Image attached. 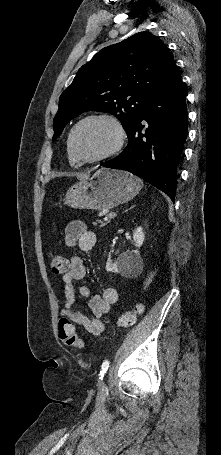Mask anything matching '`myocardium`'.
I'll use <instances>...</instances> for the list:
<instances>
[{
  "label": "myocardium",
  "mask_w": 221,
  "mask_h": 455,
  "mask_svg": "<svg viewBox=\"0 0 221 455\" xmlns=\"http://www.w3.org/2000/svg\"><path fill=\"white\" fill-rule=\"evenodd\" d=\"M91 121H101L104 123H107L110 125L114 131L115 135V142L113 146L106 151L105 153L98 155L93 158H83L78 155L76 149H75V138L77 131L79 128L84 125L85 123L91 122ZM126 139V134H125V129L122 124V122L114 115L106 113V112H100V113H93L86 115L82 117L80 120H78L75 125L72 127L71 132L69 134V139H68V147L71 156L78 162V163H96L103 161L109 157H112L116 153H118L124 146Z\"/></svg>",
  "instance_id": "obj_1"
}]
</instances>
